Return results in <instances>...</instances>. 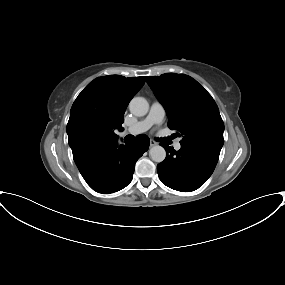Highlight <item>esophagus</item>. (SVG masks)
<instances>
[{
  "instance_id": "1",
  "label": "esophagus",
  "mask_w": 285,
  "mask_h": 285,
  "mask_svg": "<svg viewBox=\"0 0 285 285\" xmlns=\"http://www.w3.org/2000/svg\"><path fill=\"white\" fill-rule=\"evenodd\" d=\"M156 145H157V143L154 140H150V147H154Z\"/></svg>"
}]
</instances>
